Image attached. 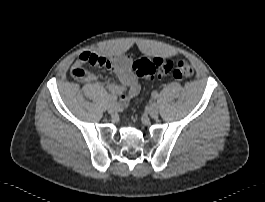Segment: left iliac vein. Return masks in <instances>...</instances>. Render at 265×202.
<instances>
[{
    "label": "left iliac vein",
    "instance_id": "obj_1",
    "mask_svg": "<svg viewBox=\"0 0 265 202\" xmlns=\"http://www.w3.org/2000/svg\"><path fill=\"white\" fill-rule=\"evenodd\" d=\"M158 105L156 103H151L148 108V113L152 118H155L158 116Z\"/></svg>",
    "mask_w": 265,
    "mask_h": 202
}]
</instances>
